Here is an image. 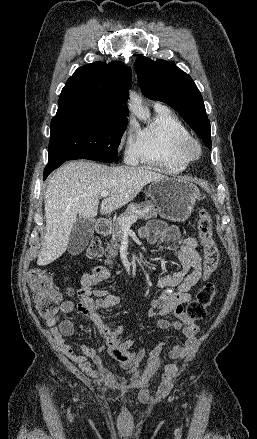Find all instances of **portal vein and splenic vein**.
Segmentation results:
<instances>
[{
    "label": "portal vein and splenic vein",
    "mask_w": 257,
    "mask_h": 439,
    "mask_svg": "<svg viewBox=\"0 0 257 439\" xmlns=\"http://www.w3.org/2000/svg\"><path fill=\"white\" fill-rule=\"evenodd\" d=\"M109 195L108 191H102L100 193L101 197H107ZM138 219L137 215L130 216L128 218H121L119 221L120 226L123 228H130L131 224L136 222Z\"/></svg>",
    "instance_id": "18ae733b"
}]
</instances>
